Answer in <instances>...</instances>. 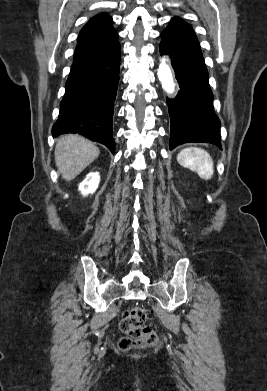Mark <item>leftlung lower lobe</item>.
Instances as JSON below:
<instances>
[{
    "mask_svg": "<svg viewBox=\"0 0 267 391\" xmlns=\"http://www.w3.org/2000/svg\"><path fill=\"white\" fill-rule=\"evenodd\" d=\"M161 55H169L180 91L167 99L170 115L169 149L187 142H206L221 148L220 121L197 37L168 25L161 33Z\"/></svg>",
    "mask_w": 267,
    "mask_h": 391,
    "instance_id": "left-lung-lower-lobe-1",
    "label": "left lung lower lobe"
}]
</instances>
